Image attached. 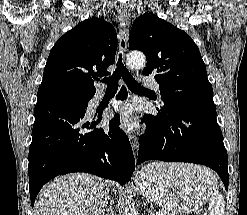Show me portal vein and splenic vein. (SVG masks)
Returning a JSON list of instances; mask_svg holds the SVG:
<instances>
[{"instance_id":"1","label":"portal vein and splenic vein","mask_w":247,"mask_h":215,"mask_svg":"<svg viewBox=\"0 0 247 215\" xmlns=\"http://www.w3.org/2000/svg\"><path fill=\"white\" fill-rule=\"evenodd\" d=\"M156 215H164L162 212H156Z\"/></svg>"}]
</instances>
